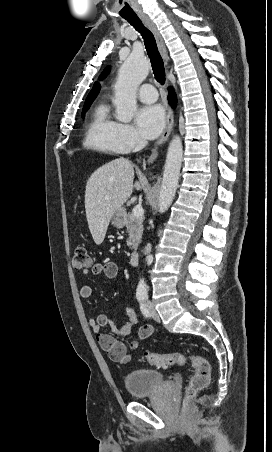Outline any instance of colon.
I'll return each mask as SVG.
<instances>
[{
  "label": "colon",
  "instance_id": "1",
  "mask_svg": "<svg viewBox=\"0 0 272 452\" xmlns=\"http://www.w3.org/2000/svg\"><path fill=\"white\" fill-rule=\"evenodd\" d=\"M75 269H84L91 265V258L88 254L87 248L84 245H78L75 248L72 260ZM136 343H131V348L134 349ZM127 358L126 351L121 346H116L112 351V359L123 361ZM144 361L150 365L167 368L172 365L183 366L189 363L194 368V375L191 377L189 384L185 391L186 400H191L196 394L205 389L211 378V366L206 358L196 354H159L146 353Z\"/></svg>",
  "mask_w": 272,
  "mask_h": 452
}]
</instances>
